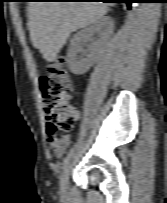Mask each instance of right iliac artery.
Returning <instances> with one entry per match:
<instances>
[{"instance_id":"82829eb1","label":"right iliac artery","mask_w":167,"mask_h":203,"mask_svg":"<svg viewBox=\"0 0 167 203\" xmlns=\"http://www.w3.org/2000/svg\"><path fill=\"white\" fill-rule=\"evenodd\" d=\"M73 154H74V147H72L70 149L67 156L64 158L63 164H62V171H64L66 169V167L68 166L69 161H70L71 157L73 156Z\"/></svg>"}]
</instances>
